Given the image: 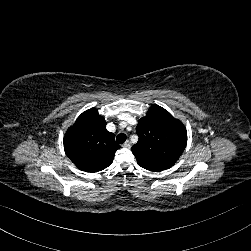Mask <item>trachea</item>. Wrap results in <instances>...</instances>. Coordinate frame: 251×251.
<instances>
[{"instance_id":"3493384b","label":"trachea","mask_w":251,"mask_h":251,"mask_svg":"<svg viewBox=\"0 0 251 251\" xmlns=\"http://www.w3.org/2000/svg\"><path fill=\"white\" fill-rule=\"evenodd\" d=\"M116 141L119 144H123L126 141V135L125 134H118L116 137Z\"/></svg>"}]
</instances>
